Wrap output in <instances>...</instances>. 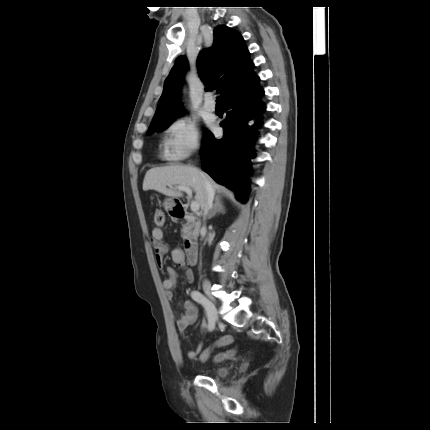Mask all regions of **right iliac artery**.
Returning <instances> with one entry per match:
<instances>
[{"label": "right iliac artery", "instance_id": "82829eb1", "mask_svg": "<svg viewBox=\"0 0 430 430\" xmlns=\"http://www.w3.org/2000/svg\"><path fill=\"white\" fill-rule=\"evenodd\" d=\"M191 297L194 301L200 303L204 307L208 318V327L209 330L212 331L215 327V319L209 310V300L199 291H192Z\"/></svg>", "mask_w": 430, "mask_h": 430}]
</instances>
